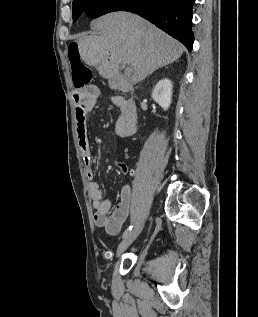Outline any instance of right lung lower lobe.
I'll use <instances>...</instances> for the list:
<instances>
[{
	"mask_svg": "<svg viewBox=\"0 0 258 317\" xmlns=\"http://www.w3.org/2000/svg\"><path fill=\"white\" fill-rule=\"evenodd\" d=\"M195 0H118L113 11H130L147 19L175 39L189 51L194 41L191 29L192 6ZM83 13L90 17L96 10L85 8Z\"/></svg>",
	"mask_w": 258,
	"mask_h": 317,
	"instance_id": "obj_1",
	"label": "right lung lower lobe"
}]
</instances>
